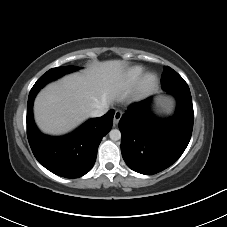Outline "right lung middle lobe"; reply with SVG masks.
<instances>
[{"mask_svg": "<svg viewBox=\"0 0 227 227\" xmlns=\"http://www.w3.org/2000/svg\"><path fill=\"white\" fill-rule=\"evenodd\" d=\"M78 67L72 66H63L58 68H52L48 70L45 74H43L37 82L34 84L30 92L39 91L42 87H44L48 82L57 79L60 76H63L66 73H70L72 71L77 70Z\"/></svg>", "mask_w": 227, "mask_h": 227, "instance_id": "dd1d6c3e", "label": "right lung middle lobe"}]
</instances>
